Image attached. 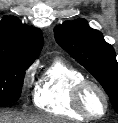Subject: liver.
<instances>
[{"mask_svg": "<svg viewBox=\"0 0 118 123\" xmlns=\"http://www.w3.org/2000/svg\"><path fill=\"white\" fill-rule=\"evenodd\" d=\"M0 123H67L65 120L42 113L23 114L0 111Z\"/></svg>", "mask_w": 118, "mask_h": 123, "instance_id": "6515ba94", "label": "liver"}]
</instances>
